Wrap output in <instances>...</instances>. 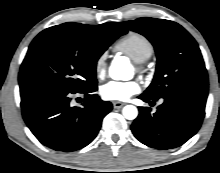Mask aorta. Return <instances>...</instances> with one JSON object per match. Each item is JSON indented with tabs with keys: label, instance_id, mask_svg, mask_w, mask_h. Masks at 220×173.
<instances>
[{
	"label": "aorta",
	"instance_id": "762f6f07",
	"mask_svg": "<svg viewBox=\"0 0 220 173\" xmlns=\"http://www.w3.org/2000/svg\"><path fill=\"white\" fill-rule=\"evenodd\" d=\"M109 74L114 80H126L132 75L131 69L128 68V64L124 57L114 59L109 68ZM123 116L127 120H134L138 116V110L133 105H126L122 110Z\"/></svg>",
	"mask_w": 220,
	"mask_h": 173
}]
</instances>
